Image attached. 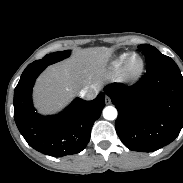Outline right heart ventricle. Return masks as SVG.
Listing matches in <instances>:
<instances>
[{"label":"right heart ventricle","mask_w":183,"mask_h":183,"mask_svg":"<svg viewBox=\"0 0 183 183\" xmlns=\"http://www.w3.org/2000/svg\"><path fill=\"white\" fill-rule=\"evenodd\" d=\"M126 57H127L126 53H123V54L119 55L118 58L116 59L114 65L116 67L121 66L123 64V62L125 61Z\"/></svg>","instance_id":"1"}]
</instances>
